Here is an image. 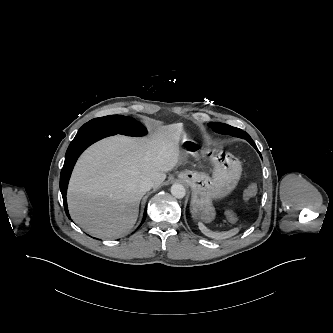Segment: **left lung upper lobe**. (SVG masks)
Returning <instances> with one entry per match:
<instances>
[{
	"label": "left lung upper lobe",
	"mask_w": 333,
	"mask_h": 333,
	"mask_svg": "<svg viewBox=\"0 0 333 333\" xmlns=\"http://www.w3.org/2000/svg\"><path fill=\"white\" fill-rule=\"evenodd\" d=\"M209 126L215 132L220 133V134H230L232 136H237V137H240V138H244L246 140H247V138H251L246 132L242 131L241 129L232 127V126L227 125V124L214 122V123H209Z\"/></svg>",
	"instance_id": "left-lung-upper-lobe-1"
}]
</instances>
